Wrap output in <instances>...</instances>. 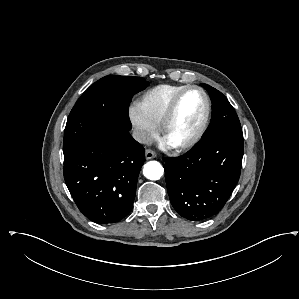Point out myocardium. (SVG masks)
<instances>
[{"label": "myocardium", "mask_w": 299, "mask_h": 299, "mask_svg": "<svg viewBox=\"0 0 299 299\" xmlns=\"http://www.w3.org/2000/svg\"><path fill=\"white\" fill-rule=\"evenodd\" d=\"M189 91H198L202 94V96L204 98L205 109H204V114H203L202 120H201L198 128L188 139H186L185 141L180 142V143H170L166 140L167 131L176 115V112L178 110V107H179L182 97ZM210 114H211V102H210V98H209L207 92L199 86H186L185 88H183L181 91H179L174 96V98L172 99L170 105L168 106V108L164 114V117L160 123L161 137L164 140V142L166 143V145L171 147L174 150L183 151V150L189 149V148L193 147L196 143H198L199 140L204 135V133L208 127Z\"/></svg>", "instance_id": "obj_1"}]
</instances>
